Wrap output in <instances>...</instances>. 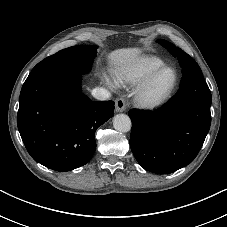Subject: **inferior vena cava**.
Listing matches in <instances>:
<instances>
[{"label": "inferior vena cava", "mask_w": 227, "mask_h": 227, "mask_svg": "<svg viewBox=\"0 0 227 227\" xmlns=\"http://www.w3.org/2000/svg\"><path fill=\"white\" fill-rule=\"evenodd\" d=\"M91 94L94 98H96L97 100H101V101L107 100L111 96L110 92L102 87H100V88L97 87V88L93 89Z\"/></svg>", "instance_id": "inferior-vena-cava-1"}]
</instances>
